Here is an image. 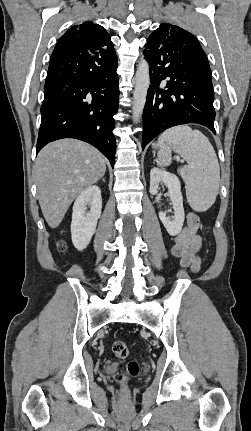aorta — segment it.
<instances>
[{
    "label": "aorta",
    "mask_w": 251,
    "mask_h": 431,
    "mask_svg": "<svg viewBox=\"0 0 251 431\" xmlns=\"http://www.w3.org/2000/svg\"><path fill=\"white\" fill-rule=\"evenodd\" d=\"M149 64L142 59L137 67L135 75V88L133 92L132 117L134 123H138L146 103L147 92L150 85Z\"/></svg>",
    "instance_id": "obj_1"
}]
</instances>
